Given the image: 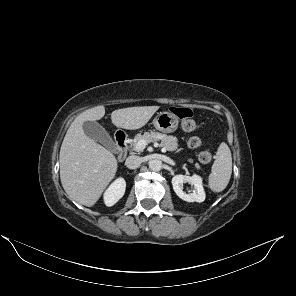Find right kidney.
<instances>
[{
	"instance_id": "1",
	"label": "right kidney",
	"mask_w": 296,
	"mask_h": 296,
	"mask_svg": "<svg viewBox=\"0 0 296 296\" xmlns=\"http://www.w3.org/2000/svg\"><path fill=\"white\" fill-rule=\"evenodd\" d=\"M126 182L123 178L116 179L104 193L106 206H113L125 193Z\"/></svg>"
}]
</instances>
